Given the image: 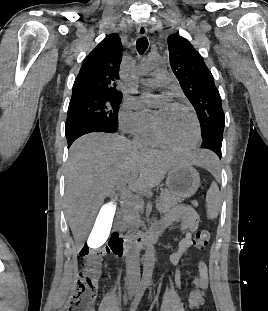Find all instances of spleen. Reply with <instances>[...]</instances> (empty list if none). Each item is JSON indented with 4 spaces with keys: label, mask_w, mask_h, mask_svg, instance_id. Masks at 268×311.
<instances>
[{
    "label": "spleen",
    "mask_w": 268,
    "mask_h": 311,
    "mask_svg": "<svg viewBox=\"0 0 268 311\" xmlns=\"http://www.w3.org/2000/svg\"><path fill=\"white\" fill-rule=\"evenodd\" d=\"M208 164L210 167H214L215 160L214 157H211ZM215 177L217 174L215 173ZM222 196L219 191L218 185L215 181L211 183L210 188L206 194V206H207V218L208 219H215L217 218L220 208H221Z\"/></svg>",
    "instance_id": "spleen-1"
}]
</instances>
